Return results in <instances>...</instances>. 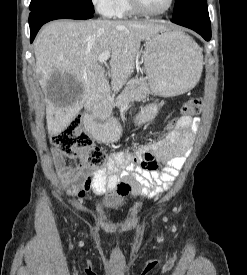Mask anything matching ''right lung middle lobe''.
<instances>
[{
    "label": "right lung middle lobe",
    "mask_w": 247,
    "mask_h": 275,
    "mask_svg": "<svg viewBox=\"0 0 247 275\" xmlns=\"http://www.w3.org/2000/svg\"><path fill=\"white\" fill-rule=\"evenodd\" d=\"M47 7H65L80 12L94 13L91 0H31L29 9L33 11Z\"/></svg>",
    "instance_id": "right-lung-middle-lobe-1"
}]
</instances>
